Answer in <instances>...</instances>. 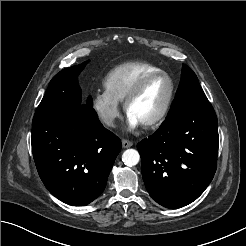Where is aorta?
<instances>
[{
  "label": "aorta",
  "mask_w": 246,
  "mask_h": 246,
  "mask_svg": "<svg viewBox=\"0 0 246 246\" xmlns=\"http://www.w3.org/2000/svg\"><path fill=\"white\" fill-rule=\"evenodd\" d=\"M140 160V155L135 149H127L122 154V161L125 165L132 167L138 164Z\"/></svg>",
  "instance_id": "aorta-1"
}]
</instances>
